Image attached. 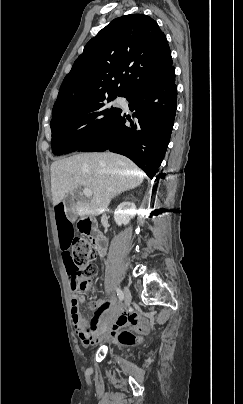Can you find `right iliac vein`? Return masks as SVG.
<instances>
[{"mask_svg": "<svg viewBox=\"0 0 243 404\" xmlns=\"http://www.w3.org/2000/svg\"><path fill=\"white\" fill-rule=\"evenodd\" d=\"M123 294H124V300H125V308H127L131 303V299H132L131 292L127 287H124Z\"/></svg>", "mask_w": 243, "mask_h": 404, "instance_id": "1", "label": "right iliac vein"}]
</instances>
